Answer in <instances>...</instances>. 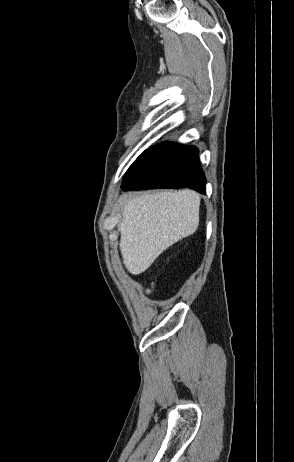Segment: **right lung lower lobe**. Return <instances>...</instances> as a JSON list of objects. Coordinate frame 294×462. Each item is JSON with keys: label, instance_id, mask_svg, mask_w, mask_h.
Returning <instances> with one entry per match:
<instances>
[{"label": "right lung lower lobe", "instance_id": "right-lung-lower-lobe-1", "mask_svg": "<svg viewBox=\"0 0 294 462\" xmlns=\"http://www.w3.org/2000/svg\"><path fill=\"white\" fill-rule=\"evenodd\" d=\"M123 190L191 188L206 194V179L198 150L163 142L144 151L125 174Z\"/></svg>", "mask_w": 294, "mask_h": 462}]
</instances>
